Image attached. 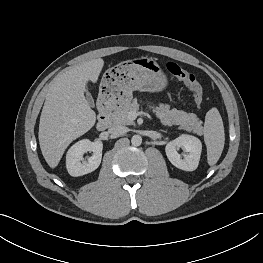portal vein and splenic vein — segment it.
<instances>
[{
  "label": "portal vein and splenic vein",
  "mask_w": 263,
  "mask_h": 263,
  "mask_svg": "<svg viewBox=\"0 0 263 263\" xmlns=\"http://www.w3.org/2000/svg\"><path fill=\"white\" fill-rule=\"evenodd\" d=\"M130 117L132 118V119H135L136 118V116H137V113H136V111H132V112H130Z\"/></svg>",
  "instance_id": "1"
}]
</instances>
